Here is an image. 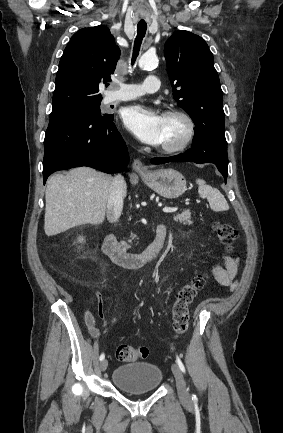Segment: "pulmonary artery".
Returning a JSON list of instances; mask_svg holds the SVG:
<instances>
[{
    "label": "pulmonary artery",
    "mask_w": 283,
    "mask_h": 433,
    "mask_svg": "<svg viewBox=\"0 0 283 433\" xmlns=\"http://www.w3.org/2000/svg\"><path fill=\"white\" fill-rule=\"evenodd\" d=\"M135 84H124L123 88L118 91V94L109 95L107 97V103L113 104L116 102H122L127 100H132L145 93H153L158 91V87L161 85V80L158 78L156 72H149L147 78H143L142 85L143 90L140 88H132Z\"/></svg>",
    "instance_id": "e3ab8cb5"
}]
</instances>
